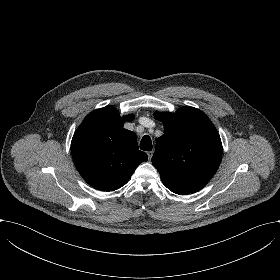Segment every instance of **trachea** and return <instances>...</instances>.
I'll use <instances>...</instances> for the list:
<instances>
[{
  "mask_svg": "<svg viewBox=\"0 0 280 280\" xmlns=\"http://www.w3.org/2000/svg\"><path fill=\"white\" fill-rule=\"evenodd\" d=\"M140 149L144 151H151L152 150V141L150 136L145 135L140 142Z\"/></svg>",
  "mask_w": 280,
  "mask_h": 280,
  "instance_id": "3493384b",
  "label": "trachea"
}]
</instances>
